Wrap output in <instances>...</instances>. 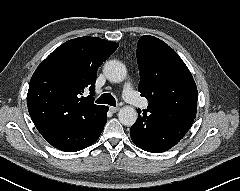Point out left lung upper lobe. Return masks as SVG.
<instances>
[{"label": "left lung upper lobe", "mask_w": 240, "mask_h": 191, "mask_svg": "<svg viewBox=\"0 0 240 191\" xmlns=\"http://www.w3.org/2000/svg\"><path fill=\"white\" fill-rule=\"evenodd\" d=\"M140 70L139 92L149 101L147 112L155 121L191 127L197 111V87L179 55L162 40L145 35L136 52Z\"/></svg>", "instance_id": "obj_1"}]
</instances>
